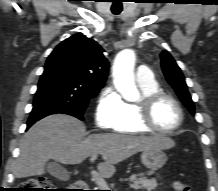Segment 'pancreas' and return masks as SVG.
<instances>
[{
    "label": "pancreas",
    "mask_w": 218,
    "mask_h": 191,
    "mask_svg": "<svg viewBox=\"0 0 218 191\" xmlns=\"http://www.w3.org/2000/svg\"><path fill=\"white\" fill-rule=\"evenodd\" d=\"M131 187L134 189H146L147 191H152L157 187V181L155 179H147L146 177H137L132 175L129 178Z\"/></svg>",
    "instance_id": "pancreas-1"
}]
</instances>
